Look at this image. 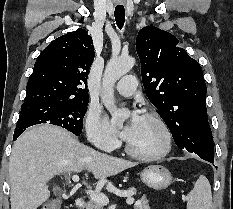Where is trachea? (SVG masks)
<instances>
[{"label": "trachea", "mask_w": 233, "mask_h": 209, "mask_svg": "<svg viewBox=\"0 0 233 209\" xmlns=\"http://www.w3.org/2000/svg\"><path fill=\"white\" fill-rule=\"evenodd\" d=\"M114 16L116 20V24L119 29H122L125 22V9L123 6H116L114 11Z\"/></svg>", "instance_id": "3493384b"}]
</instances>
